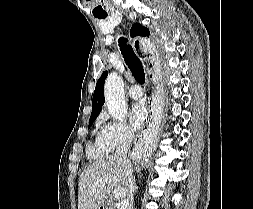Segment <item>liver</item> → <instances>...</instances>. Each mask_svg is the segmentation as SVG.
<instances>
[{
	"mask_svg": "<svg viewBox=\"0 0 253 209\" xmlns=\"http://www.w3.org/2000/svg\"><path fill=\"white\" fill-rule=\"evenodd\" d=\"M117 188L119 194L114 193ZM78 191V209H98L113 196H129L127 164L115 155L94 162L81 174Z\"/></svg>",
	"mask_w": 253,
	"mask_h": 209,
	"instance_id": "1",
	"label": "liver"
}]
</instances>
